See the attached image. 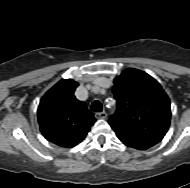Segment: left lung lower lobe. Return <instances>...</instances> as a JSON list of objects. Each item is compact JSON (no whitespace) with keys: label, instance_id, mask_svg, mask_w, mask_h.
Masks as SVG:
<instances>
[{"label":"left lung lower lobe","instance_id":"left-lung-lower-lobe-1","mask_svg":"<svg viewBox=\"0 0 190 188\" xmlns=\"http://www.w3.org/2000/svg\"><path fill=\"white\" fill-rule=\"evenodd\" d=\"M110 126L126 146L138 150L148 149L159 143L164 137L161 134L141 132L117 124H110Z\"/></svg>","mask_w":190,"mask_h":188}]
</instances>
